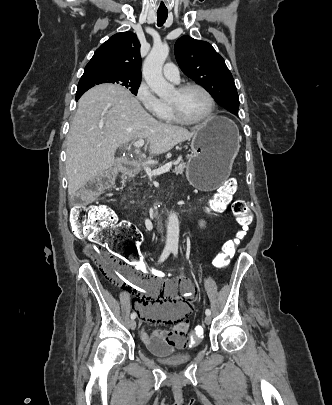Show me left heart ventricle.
Masks as SVG:
<instances>
[{"label":"left heart ventricle","instance_id":"obj_1","mask_svg":"<svg viewBox=\"0 0 332 405\" xmlns=\"http://www.w3.org/2000/svg\"><path fill=\"white\" fill-rule=\"evenodd\" d=\"M168 102L177 104L182 115L189 120L199 119L209 110L207 97L198 89H189L181 94L175 90Z\"/></svg>","mask_w":332,"mask_h":405}]
</instances>
